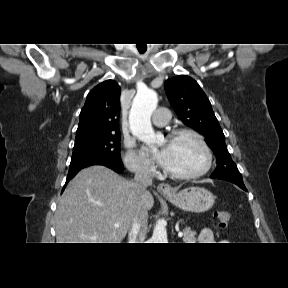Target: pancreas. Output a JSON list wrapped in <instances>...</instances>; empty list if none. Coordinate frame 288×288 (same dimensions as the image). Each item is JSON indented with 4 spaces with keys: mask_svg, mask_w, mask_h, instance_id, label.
I'll use <instances>...</instances> for the list:
<instances>
[{
    "mask_svg": "<svg viewBox=\"0 0 288 288\" xmlns=\"http://www.w3.org/2000/svg\"><path fill=\"white\" fill-rule=\"evenodd\" d=\"M195 235V231H192L189 227L185 228L183 237L184 243H194L196 240Z\"/></svg>",
    "mask_w": 288,
    "mask_h": 288,
    "instance_id": "obj_1",
    "label": "pancreas"
}]
</instances>
